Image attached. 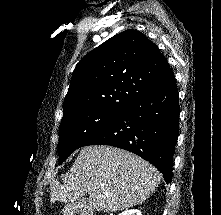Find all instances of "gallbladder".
Returning a JSON list of instances; mask_svg holds the SVG:
<instances>
[{"label": "gallbladder", "mask_w": 221, "mask_h": 215, "mask_svg": "<svg viewBox=\"0 0 221 215\" xmlns=\"http://www.w3.org/2000/svg\"><path fill=\"white\" fill-rule=\"evenodd\" d=\"M83 201H87V198H84Z\"/></svg>", "instance_id": "1"}]
</instances>
